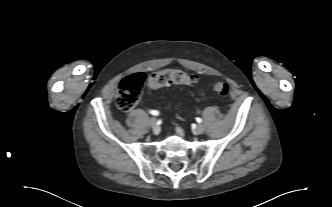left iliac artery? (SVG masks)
Returning a JSON list of instances; mask_svg holds the SVG:
<instances>
[{
  "mask_svg": "<svg viewBox=\"0 0 332 207\" xmlns=\"http://www.w3.org/2000/svg\"><path fill=\"white\" fill-rule=\"evenodd\" d=\"M196 121L198 122V123H201L202 122V119L201 118H196Z\"/></svg>",
  "mask_w": 332,
  "mask_h": 207,
  "instance_id": "obj_1",
  "label": "left iliac artery"
}]
</instances>
